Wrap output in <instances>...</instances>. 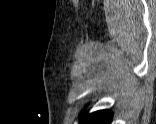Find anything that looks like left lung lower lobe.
I'll use <instances>...</instances> for the list:
<instances>
[{
  "label": "left lung lower lobe",
  "instance_id": "obj_1",
  "mask_svg": "<svg viewBox=\"0 0 156 124\" xmlns=\"http://www.w3.org/2000/svg\"><path fill=\"white\" fill-rule=\"evenodd\" d=\"M113 114L109 110H100L86 115L80 124H110Z\"/></svg>",
  "mask_w": 156,
  "mask_h": 124
}]
</instances>
